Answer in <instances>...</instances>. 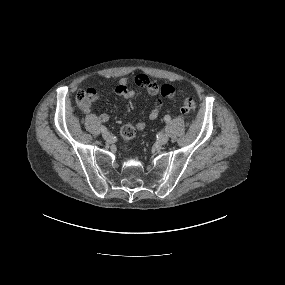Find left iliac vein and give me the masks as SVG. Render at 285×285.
<instances>
[{
    "mask_svg": "<svg viewBox=\"0 0 285 285\" xmlns=\"http://www.w3.org/2000/svg\"><path fill=\"white\" fill-rule=\"evenodd\" d=\"M169 137L166 134H162L159 138H158V142L161 145H164L168 142Z\"/></svg>",
    "mask_w": 285,
    "mask_h": 285,
    "instance_id": "obj_1",
    "label": "left iliac vein"
}]
</instances>
